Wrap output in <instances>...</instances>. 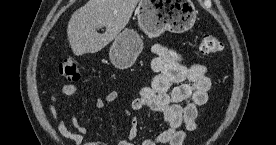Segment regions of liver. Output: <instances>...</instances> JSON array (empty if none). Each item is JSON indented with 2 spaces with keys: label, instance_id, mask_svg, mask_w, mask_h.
Listing matches in <instances>:
<instances>
[{
  "label": "liver",
  "instance_id": "1",
  "mask_svg": "<svg viewBox=\"0 0 276 145\" xmlns=\"http://www.w3.org/2000/svg\"><path fill=\"white\" fill-rule=\"evenodd\" d=\"M139 0H89L71 16L67 35L75 55L96 53L115 39L129 22ZM106 27L103 34L98 28Z\"/></svg>",
  "mask_w": 276,
  "mask_h": 145
}]
</instances>
